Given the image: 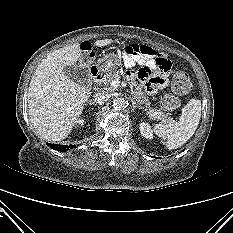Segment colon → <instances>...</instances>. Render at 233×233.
Returning <instances> with one entry per match:
<instances>
[{
	"label": "colon",
	"instance_id": "colon-1",
	"mask_svg": "<svg viewBox=\"0 0 233 233\" xmlns=\"http://www.w3.org/2000/svg\"><path fill=\"white\" fill-rule=\"evenodd\" d=\"M191 88L190 79L186 72L178 71L175 73L172 80V89L176 94H185ZM161 104L165 109L172 110L180 106V101L177 97L171 94H164L161 97Z\"/></svg>",
	"mask_w": 233,
	"mask_h": 233
}]
</instances>
